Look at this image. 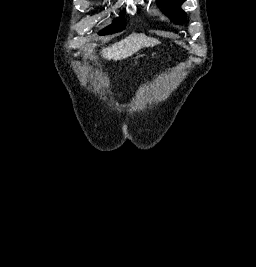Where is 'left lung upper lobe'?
<instances>
[{
    "mask_svg": "<svg viewBox=\"0 0 256 267\" xmlns=\"http://www.w3.org/2000/svg\"><path fill=\"white\" fill-rule=\"evenodd\" d=\"M184 1L185 0H158V6L161 7L173 21L181 24L186 18V14L180 8V5Z\"/></svg>",
    "mask_w": 256,
    "mask_h": 267,
    "instance_id": "obj_1",
    "label": "left lung upper lobe"
}]
</instances>
